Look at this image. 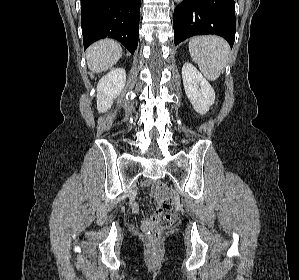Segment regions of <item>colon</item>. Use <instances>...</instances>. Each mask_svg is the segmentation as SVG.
Returning a JSON list of instances; mask_svg holds the SVG:
<instances>
[{"label":"colon","instance_id":"1","mask_svg":"<svg viewBox=\"0 0 299 280\" xmlns=\"http://www.w3.org/2000/svg\"><path fill=\"white\" fill-rule=\"evenodd\" d=\"M159 191L166 194L167 189L163 183H158ZM165 212L157 213L153 218L151 224L146 228L147 236L151 243L155 244L159 240L163 230L175 225L179 221V215L172 208L170 199L164 201Z\"/></svg>","mask_w":299,"mask_h":280}]
</instances>
